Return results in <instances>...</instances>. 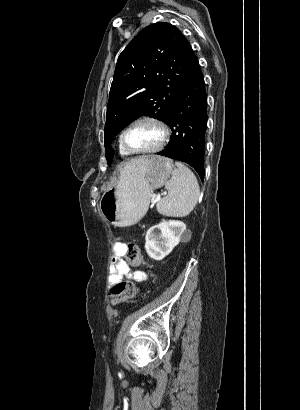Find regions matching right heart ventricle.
Masks as SVG:
<instances>
[{"instance_id": "right-heart-ventricle-1", "label": "right heart ventricle", "mask_w": 300, "mask_h": 410, "mask_svg": "<svg viewBox=\"0 0 300 410\" xmlns=\"http://www.w3.org/2000/svg\"><path fill=\"white\" fill-rule=\"evenodd\" d=\"M119 152H120L121 156H123V157H127V156L130 155L126 150H124V149L120 146V144H119Z\"/></svg>"}]
</instances>
